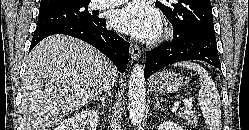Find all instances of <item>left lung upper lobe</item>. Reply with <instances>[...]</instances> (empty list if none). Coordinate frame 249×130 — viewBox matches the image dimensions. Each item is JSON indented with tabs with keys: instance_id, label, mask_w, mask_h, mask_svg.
<instances>
[{
	"instance_id": "5c2ea615",
	"label": "left lung upper lobe",
	"mask_w": 249,
	"mask_h": 130,
	"mask_svg": "<svg viewBox=\"0 0 249 130\" xmlns=\"http://www.w3.org/2000/svg\"><path fill=\"white\" fill-rule=\"evenodd\" d=\"M156 6L181 34L201 31L215 35L210 0H175L168 5L157 1Z\"/></svg>"
}]
</instances>
